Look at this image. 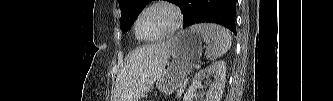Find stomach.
<instances>
[{
  "mask_svg": "<svg viewBox=\"0 0 333 101\" xmlns=\"http://www.w3.org/2000/svg\"><path fill=\"white\" fill-rule=\"evenodd\" d=\"M166 64L156 81L164 94L173 93L185 80L202 56L201 35L189 29L178 32L167 40Z\"/></svg>",
  "mask_w": 333,
  "mask_h": 101,
  "instance_id": "stomach-1",
  "label": "stomach"
}]
</instances>
